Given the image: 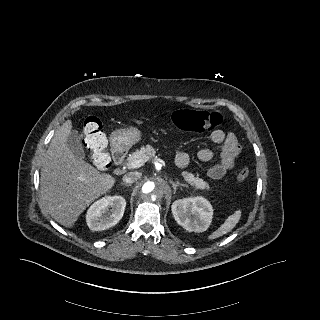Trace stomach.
Instances as JSON below:
<instances>
[{"label":"stomach","instance_id":"1","mask_svg":"<svg viewBox=\"0 0 320 320\" xmlns=\"http://www.w3.org/2000/svg\"><path fill=\"white\" fill-rule=\"evenodd\" d=\"M141 140V132L134 127L122 128L112 132L111 145L115 148L126 150Z\"/></svg>","mask_w":320,"mask_h":320}]
</instances>
